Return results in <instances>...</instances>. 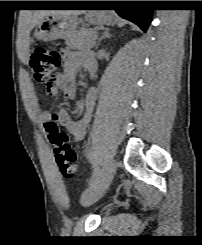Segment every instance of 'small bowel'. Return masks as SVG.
<instances>
[{"instance_id": "1", "label": "small bowel", "mask_w": 202, "mask_h": 245, "mask_svg": "<svg viewBox=\"0 0 202 245\" xmlns=\"http://www.w3.org/2000/svg\"><path fill=\"white\" fill-rule=\"evenodd\" d=\"M64 64H63V74L56 78L57 92L61 89L64 95L68 99H74L76 96V77L80 68L86 71L95 70L96 64L95 60L91 55H82L74 51H63L62 53ZM96 101V90L91 89L86 94L84 98V112L78 118L74 119L71 117L70 113L61 109L59 111L48 110L41 112L39 114V119L41 122L45 123L46 120L53 116L57 117V121L64 126L72 135L76 138L81 139L86 132V129L91 120V113L94 108ZM79 104V108H81Z\"/></svg>"}]
</instances>
